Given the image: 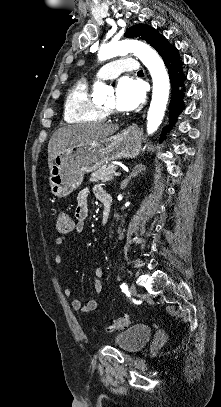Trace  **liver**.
Returning a JSON list of instances; mask_svg holds the SVG:
<instances>
[{
	"label": "liver",
	"instance_id": "obj_1",
	"mask_svg": "<svg viewBox=\"0 0 221 407\" xmlns=\"http://www.w3.org/2000/svg\"><path fill=\"white\" fill-rule=\"evenodd\" d=\"M119 129L118 125L104 123H81L61 127L54 132L48 143V166L65 148L79 143H90L111 136Z\"/></svg>",
	"mask_w": 221,
	"mask_h": 407
}]
</instances>
